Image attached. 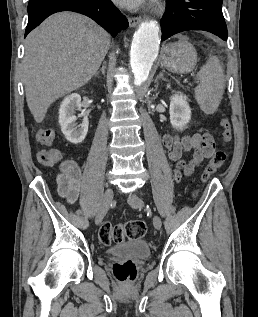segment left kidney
<instances>
[{
  "label": "left kidney",
  "instance_id": "5707ae66",
  "mask_svg": "<svg viewBox=\"0 0 258 317\" xmlns=\"http://www.w3.org/2000/svg\"><path fill=\"white\" fill-rule=\"evenodd\" d=\"M187 100L188 96H185L182 92H177V94L170 96V122L173 128H177V130L187 128L191 118V108Z\"/></svg>",
  "mask_w": 258,
  "mask_h": 317
}]
</instances>
